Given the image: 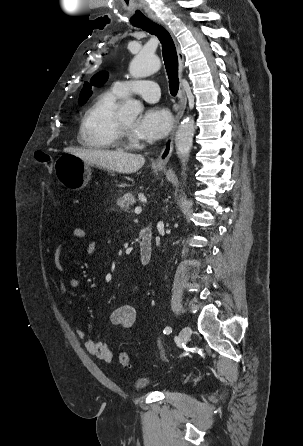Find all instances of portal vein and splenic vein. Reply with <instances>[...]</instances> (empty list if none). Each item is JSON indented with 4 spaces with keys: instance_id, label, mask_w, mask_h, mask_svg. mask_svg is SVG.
<instances>
[{
    "instance_id": "portal-vein-and-splenic-vein-1",
    "label": "portal vein and splenic vein",
    "mask_w": 303,
    "mask_h": 446,
    "mask_svg": "<svg viewBox=\"0 0 303 446\" xmlns=\"http://www.w3.org/2000/svg\"><path fill=\"white\" fill-rule=\"evenodd\" d=\"M142 212V208L140 207V206H137L136 208H135V213L136 214H140Z\"/></svg>"
}]
</instances>
